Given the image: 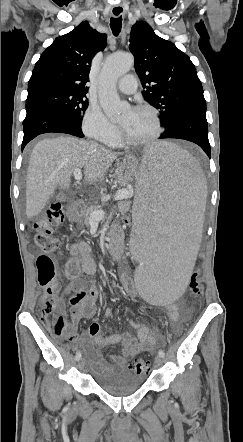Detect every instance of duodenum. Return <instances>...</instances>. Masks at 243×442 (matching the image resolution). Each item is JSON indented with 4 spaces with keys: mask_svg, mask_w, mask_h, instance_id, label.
Instances as JSON below:
<instances>
[{
    "mask_svg": "<svg viewBox=\"0 0 243 442\" xmlns=\"http://www.w3.org/2000/svg\"><path fill=\"white\" fill-rule=\"evenodd\" d=\"M75 207L72 208V211H75ZM123 238L124 234L123 231H118L113 235V239L111 240V248H110V254L113 257L120 256L123 252Z\"/></svg>",
    "mask_w": 243,
    "mask_h": 442,
    "instance_id": "410a0bca",
    "label": "duodenum"
}]
</instances>
